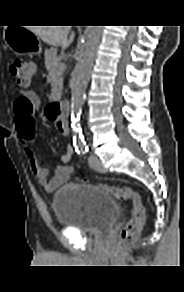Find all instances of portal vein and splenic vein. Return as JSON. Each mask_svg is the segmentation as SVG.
Masks as SVG:
<instances>
[{
    "label": "portal vein and splenic vein",
    "instance_id": "1",
    "mask_svg": "<svg viewBox=\"0 0 184 292\" xmlns=\"http://www.w3.org/2000/svg\"><path fill=\"white\" fill-rule=\"evenodd\" d=\"M58 68H59L60 70H65L66 65H65L64 63H62Z\"/></svg>",
    "mask_w": 184,
    "mask_h": 292
}]
</instances>
